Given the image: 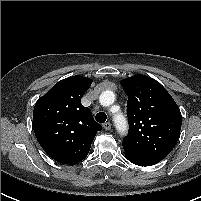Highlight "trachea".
<instances>
[{
    "mask_svg": "<svg viewBox=\"0 0 201 201\" xmlns=\"http://www.w3.org/2000/svg\"><path fill=\"white\" fill-rule=\"evenodd\" d=\"M107 119V116L104 112H99L97 115H96V121L99 122V123H104Z\"/></svg>",
    "mask_w": 201,
    "mask_h": 201,
    "instance_id": "obj_1",
    "label": "trachea"
}]
</instances>
